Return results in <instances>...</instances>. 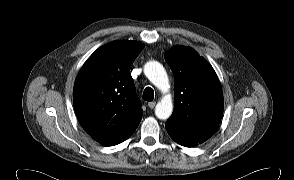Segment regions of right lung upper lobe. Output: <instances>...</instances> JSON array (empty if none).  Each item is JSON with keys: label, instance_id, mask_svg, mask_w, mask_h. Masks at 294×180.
I'll use <instances>...</instances> for the list:
<instances>
[{"label": "right lung upper lobe", "instance_id": "cb5924a9", "mask_svg": "<svg viewBox=\"0 0 294 180\" xmlns=\"http://www.w3.org/2000/svg\"><path fill=\"white\" fill-rule=\"evenodd\" d=\"M136 41H113L82 66L73 89L74 109L83 129L100 144L110 143L142 118L130 68L143 49Z\"/></svg>", "mask_w": 294, "mask_h": 180}]
</instances>
